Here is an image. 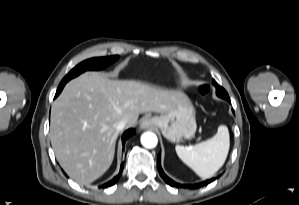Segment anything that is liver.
<instances>
[{"instance_id": "obj_1", "label": "liver", "mask_w": 299, "mask_h": 205, "mask_svg": "<svg viewBox=\"0 0 299 205\" xmlns=\"http://www.w3.org/2000/svg\"><path fill=\"white\" fill-rule=\"evenodd\" d=\"M179 91L135 80H111L88 71L69 81L51 108L50 139L65 172L89 184L111 166L119 131L116 123L136 124L139 114L165 113L182 99Z\"/></svg>"}]
</instances>
